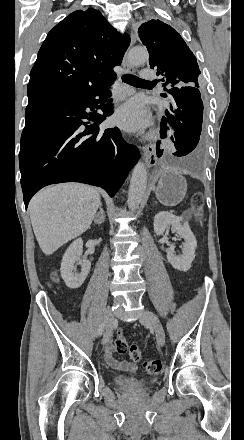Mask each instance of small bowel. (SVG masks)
<instances>
[{"label": "small bowel", "instance_id": "1", "mask_svg": "<svg viewBox=\"0 0 244 440\" xmlns=\"http://www.w3.org/2000/svg\"><path fill=\"white\" fill-rule=\"evenodd\" d=\"M113 352H114L113 345L111 343L107 344L104 351V359L110 367L127 373H134L137 371L138 366L136 363L129 362L126 360L118 361L114 358Z\"/></svg>", "mask_w": 244, "mask_h": 440}]
</instances>
